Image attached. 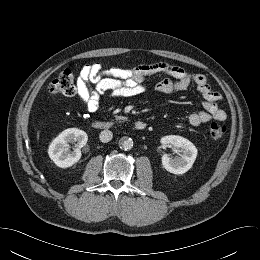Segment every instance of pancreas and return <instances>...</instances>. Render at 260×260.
<instances>
[{
    "mask_svg": "<svg viewBox=\"0 0 260 260\" xmlns=\"http://www.w3.org/2000/svg\"><path fill=\"white\" fill-rule=\"evenodd\" d=\"M115 120H116L117 122H123V121L127 120V117L116 115V116H115Z\"/></svg>",
    "mask_w": 260,
    "mask_h": 260,
    "instance_id": "pancreas-1",
    "label": "pancreas"
}]
</instances>
